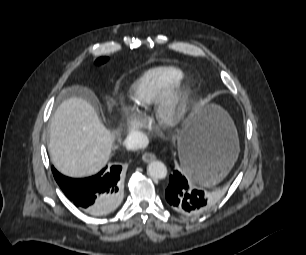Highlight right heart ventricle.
I'll return each instance as SVG.
<instances>
[{
  "label": "right heart ventricle",
  "mask_w": 306,
  "mask_h": 255,
  "mask_svg": "<svg viewBox=\"0 0 306 255\" xmlns=\"http://www.w3.org/2000/svg\"><path fill=\"white\" fill-rule=\"evenodd\" d=\"M184 74L174 66H158L145 71L129 89L132 106L138 112H146L165 95L174 90Z\"/></svg>",
  "instance_id": "right-heart-ventricle-1"
}]
</instances>
